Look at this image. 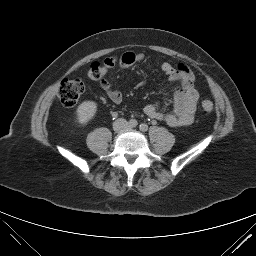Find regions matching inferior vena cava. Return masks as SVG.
Returning a JSON list of instances; mask_svg holds the SVG:
<instances>
[{"instance_id":"obj_1","label":"inferior vena cava","mask_w":256,"mask_h":256,"mask_svg":"<svg viewBox=\"0 0 256 256\" xmlns=\"http://www.w3.org/2000/svg\"><path fill=\"white\" fill-rule=\"evenodd\" d=\"M127 127L128 122L123 118H119L113 123V128L115 131H125Z\"/></svg>"}]
</instances>
